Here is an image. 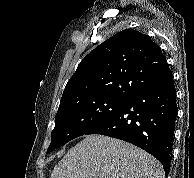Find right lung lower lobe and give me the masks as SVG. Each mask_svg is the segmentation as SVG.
<instances>
[{"label":"right lung lower lobe","instance_id":"right-lung-lower-lobe-1","mask_svg":"<svg viewBox=\"0 0 194 178\" xmlns=\"http://www.w3.org/2000/svg\"><path fill=\"white\" fill-rule=\"evenodd\" d=\"M178 112L173 77L131 96L85 134H101L130 142L157 158L169 174Z\"/></svg>","mask_w":194,"mask_h":178}]
</instances>
